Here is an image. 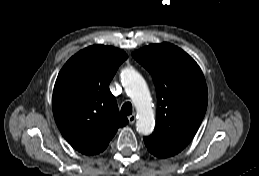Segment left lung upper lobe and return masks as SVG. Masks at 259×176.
Masks as SVG:
<instances>
[{
    "label": "left lung upper lobe",
    "mask_w": 259,
    "mask_h": 176,
    "mask_svg": "<svg viewBox=\"0 0 259 176\" xmlns=\"http://www.w3.org/2000/svg\"><path fill=\"white\" fill-rule=\"evenodd\" d=\"M152 75L157 90L156 126L144 138L148 151L167 158L195 136L207 109L208 91L198 64L170 43L152 44L132 53Z\"/></svg>",
    "instance_id": "left-lung-upper-lobe-1"
}]
</instances>
